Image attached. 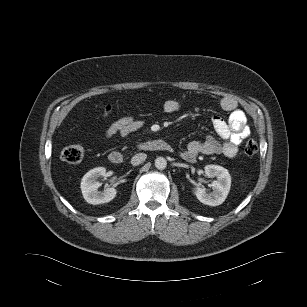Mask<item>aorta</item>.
<instances>
[{
  "mask_svg": "<svg viewBox=\"0 0 307 307\" xmlns=\"http://www.w3.org/2000/svg\"><path fill=\"white\" fill-rule=\"evenodd\" d=\"M167 166V160L164 157H157L155 159V167L159 170H164Z\"/></svg>",
  "mask_w": 307,
  "mask_h": 307,
  "instance_id": "1",
  "label": "aorta"
}]
</instances>
